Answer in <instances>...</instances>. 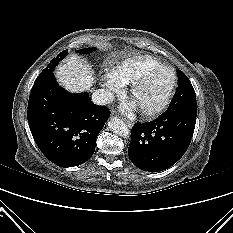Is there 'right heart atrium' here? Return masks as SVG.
<instances>
[{
	"mask_svg": "<svg viewBox=\"0 0 233 233\" xmlns=\"http://www.w3.org/2000/svg\"><path fill=\"white\" fill-rule=\"evenodd\" d=\"M103 83L104 86L112 93H120L123 88L124 84L119 78L116 70H106L103 75Z\"/></svg>",
	"mask_w": 233,
	"mask_h": 233,
	"instance_id": "1",
	"label": "right heart atrium"
}]
</instances>
